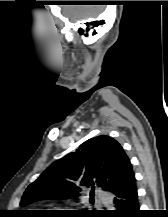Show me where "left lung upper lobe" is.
<instances>
[{
  "instance_id": "left-lung-upper-lobe-1",
  "label": "left lung upper lobe",
  "mask_w": 168,
  "mask_h": 217,
  "mask_svg": "<svg viewBox=\"0 0 168 217\" xmlns=\"http://www.w3.org/2000/svg\"><path fill=\"white\" fill-rule=\"evenodd\" d=\"M132 173L130 160L121 145L101 135L85 141L76 152L48 167L27 187L20 205L49 198H77L82 186L92 189L97 186L112 193L122 187Z\"/></svg>"
}]
</instances>
